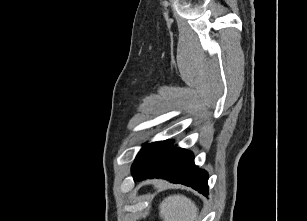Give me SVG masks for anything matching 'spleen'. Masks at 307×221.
<instances>
[{
	"label": "spleen",
	"mask_w": 307,
	"mask_h": 221,
	"mask_svg": "<svg viewBox=\"0 0 307 221\" xmlns=\"http://www.w3.org/2000/svg\"><path fill=\"white\" fill-rule=\"evenodd\" d=\"M198 212L195 203L180 194L164 198L159 205V216L163 221H196Z\"/></svg>",
	"instance_id": "3e777b00"
}]
</instances>
